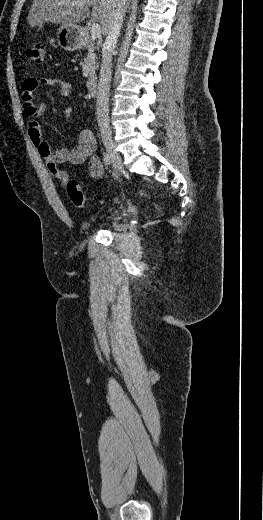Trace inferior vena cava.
<instances>
[{
  "label": "inferior vena cava",
  "instance_id": "inferior-vena-cava-1",
  "mask_svg": "<svg viewBox=\"0 0 263 520\" xmlns=\"http://www.w3.org/2000/svg\"><path fill=\"white\" fill-rule=\"evenodd\" d=\"M127 0H114L115 11L102 48V64L97 87L96 114L101 133H109V91L112 56L123 25Z\"/></svg>",
  "mask_w": 263,
  "mask_h": 520
}]
</instances>
